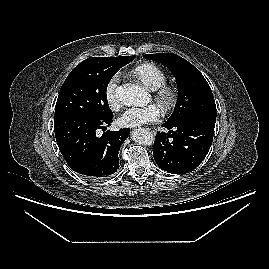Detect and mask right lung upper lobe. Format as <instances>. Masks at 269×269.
Listing matches in <instances>:
<instances>
[{"label":"right lung upper lobe","mask_w":269,"mask_h":269,"mask_svg":"<svg viewBox=\"0 0 269 269\" xmlns=\"http://www.w3.org/2000/svg\"><path fill=\"white\" fill-rule=\"evenodd\" d=\"M128 57L129 56H119V57H114V58H111V57H91V58H88V59L84 60L83 62L87 63V62L101 61V60H104V61H120V60H124V59H126Z\"/></svg>","instance_id":"obj_1"}]
</instances>
